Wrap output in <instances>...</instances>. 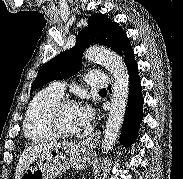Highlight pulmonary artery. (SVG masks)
I'll use <instances>...</instances> for the list:
<instances>
[{
	"label": "pulmonary artery",
	"mask_w": 183,
	"mask_h": 179,
	"mask_svg": "<svg viewBox=\"0 0 183 179\" xmlns=\"http://www.w3.org/2000/svg\"><path fill=\"white\" fill-rule=\"evenodd\" d=\"M86 82L90 86L104 88L108 84V79L100 71H91L86 75ZM50 87L60 95H63L65 90V84L63 82H54Z\"/></svg>",
	"instance_id": "pulmonary-artery-1"
}]
</instances>
